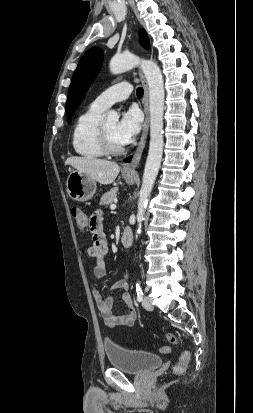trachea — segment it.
Returning a JSON list of instances; mask_svg holds the SVG:
<instances>
[{
  "label": "trachea",
  "instance_id": "1",
  "mask_svg": "<svg viewBox=\"0 0 253 413\" xmlns=\"http://www.w3.org/2000/svg\"><path fill=\"white\" fill-rule=\"evenodd\" d=\"M136 94H137V97H138V98H142V97H143V94H144L143 88H142V87H138L137 90H136Z\"/></svg>",
  "mask_w": 253,
  "mask_h": 413
}]
</instances>
